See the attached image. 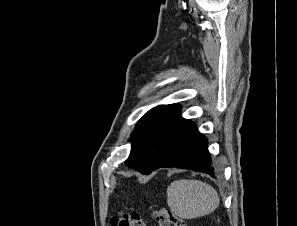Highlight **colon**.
<instances>
[{"label": "colon", "instance_id": "5ec220e1", "mask_svg": "<svg viewBox=\"0 0 297 226\" xmlns=\"http://www.w3.org/2000/svg\"><path fill=\"white\" fill-rule=\"evenodd\" d=\"M159 226H187L186 222L177 217L170 209L161 208L153 213ZM112 226H146L142 215L135 212L120 211L111 218Z\"/></svg>", "mask_w": 297, "mask_h": 226}]
</instances>
